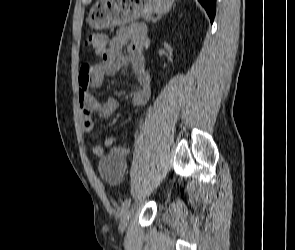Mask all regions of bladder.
Returning a JSON list of instances; mask_svg holds the SVG:
<instances>
[{
	"label": "bladder",
	"mask_w": 295,
	"mask_h": 250,
	"mask_svg": "<svg viewBox=\"0 0 295 250\" xmlns=\"http://www.w3.org/2000/svg\"><path fill=\"white\" fill-rule=\"evenodd\" d=\"M124 160L117 156H104L98 163V170L102 178L111 184L119 182L124 172Z\"/></svg>",
	"instance_id": "31cf9c89"
}]
</instances>
